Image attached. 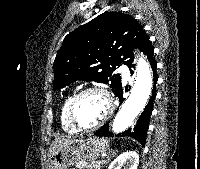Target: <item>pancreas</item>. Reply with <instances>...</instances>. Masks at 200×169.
<instances>
[{
	"mask_svg": "<svg viewBox=\"0 0 200 169\" xmlns=\"http://www.w3.org/2000/svg\"><path fill=\"white\" fill-rule=\"evenodd\" d=\"M105 164V161H91V162H78L76 167L78 169H101V166Z\"/></svg>",
	"mask_w": 200,
	"mask_h": 169,
	"instance_id": "obj_1",
	"label": "pancreas"
}]
</instances>
